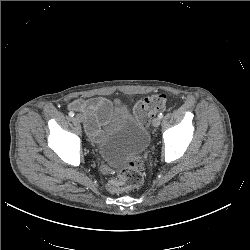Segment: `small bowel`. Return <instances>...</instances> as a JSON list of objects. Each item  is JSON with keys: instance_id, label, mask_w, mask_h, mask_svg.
<instances>
[{"instance_id": "c3829d8e", "label": "small bowel", "mask_w": 250, "mask_h": 250, "mask_svg": "<svg viewBox=\"0 0 250 250\" xmlns=\"http://www.w3.org/2000/svg\"><path fill=\"white\" fill-rule=\"evenodd\" d=\"M111 107L112 102L104 97L76 99L69 104L71 110L83 115L86 132L92 137H98L99 126L108 118Z\"/></svg>"}]
</instances>
